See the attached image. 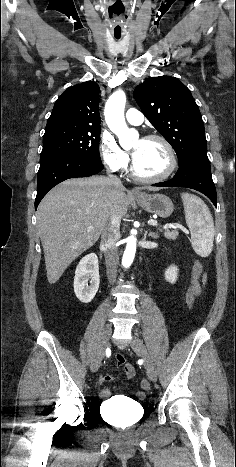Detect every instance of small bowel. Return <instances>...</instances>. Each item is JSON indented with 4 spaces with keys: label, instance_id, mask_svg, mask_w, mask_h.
<instances>
[{
    "label": "small bowel",
    "instance_id": "1",
    "mask_svg": "<svg viewBox=\"0 0 236 467\" xmlns=\"http://www.w3.org/2000/svg\"><path fill=\"white\" fill-rule=\"evenodd\" d=\"M205 280H206V275L202 274L201 278L196 282L195 285H192V283L190 284L188 292L191 291L194 296L200 295ZM115 364L118 367H122V369H123V371L125 373V376L128 379H131V378H133L135 376L134 366L132 364H130V363L125 362L124 357L121 358V355L116 356ZM111 380H112V376L109 375V374H104V375H102L100 377V382L101 383H107V382H110ZM110 394H111V392H110V390L108 388H103L100 391V396L101 397H108V396H110Z\"/></svg>",
    "mask_w": 236,
    "mask_h": 467
}]
</instances>
